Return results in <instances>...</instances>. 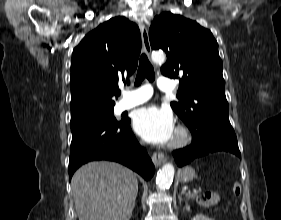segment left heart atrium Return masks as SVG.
Instances as JSON below:
<instances>
[{"mask_svg": "<svg viewBox=\"0 0 281 220\" xmlns=\"http://www.w3.org/2000/svg\"><path fill=\"white\" fill-rule=\"evenodd\" d=\"M133 128L142 139L153 144L168 143L175 133L171 112L154 105L140 108L135 112Z\"/></svg>", "mask_w": 281, "mask_h": 220, "instance_id": "1", "label": "left heart atrium"}]
</instances>
